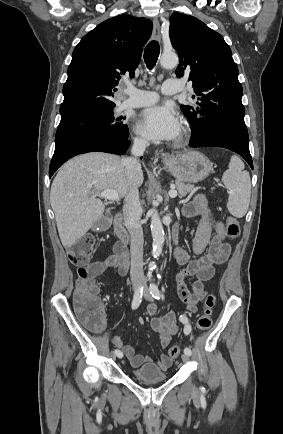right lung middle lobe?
<instances>
[{"mask_svg":"<svg viewBox=\"0 0 283 434\" xmlns=\"http://www.w3.org/2000/svg\"><path fill=\"white\" fill-rule=\"evenodd\" d=\"M113 109L61 117L55 136L58 145L72 137L90 132H112L128 136V127L114 118Z\"/></svg>","mask_w":283,"mask_h":434,"instance_id":"right-lung-middle-lobe-1","label":"right lung middle lobe"}]
</instances>
